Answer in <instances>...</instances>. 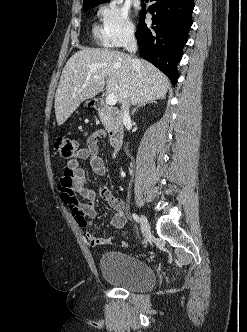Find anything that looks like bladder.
Instances as JSON below:
<instances>
[{
  "mask_svg": "<svg viewBox=\"0 0 247 332\" xmlns=\"http://www.w3.org/2000/svg\"><path fill=\"white\" fill-rule=\"evenodd\" d=\"M103 278L110 284L133 292L150 290L156 283L151 266L123 251H107L99 260Z\"/></svg>",
  "mask_w": 247,
  "mask_h": 332,
  "instance_id": "1",
  "label": "bladder"
}]
</instances>
